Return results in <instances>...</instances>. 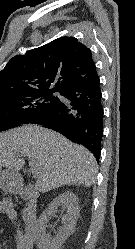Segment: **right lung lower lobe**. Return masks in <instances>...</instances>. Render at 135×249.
I'll return each mask as SVG.
<instances>
[{"label": "right lung lower lobe", "instance_id": "right-lung-lower-lobe-1", "mask_svg": "<svg viewBox=\"0 0 135 249\" xmlns=\"http://www.w3.org/2000/svg\"><path fill=\"white\" fill-rule=\"evenodd\" d=\"M50 108L31 118L28 123L53 129L75 143L84 145L99 161L103 137V107L100 80L76 83L61 93Z\"/></svg>", "mask_w": 135, "mask_h": 249}]
</instances>
